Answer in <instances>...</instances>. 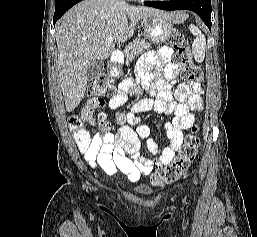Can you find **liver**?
I'll return each instance as SVG.
<instances>
[{
	"label": "liver",
	"mask_w": 257,
	"mask_h": 237,
	"mask_svg": "<svg viewBox=\"0 0 257 237\" xmlns=\"http://www.w3.org/2000/svg\"><path fill=\"white\" fill-rule=\"evenodd\" d=\"M156 15L174 23L184 19L180 13L129 6L118 0H84L63 15L56 24V42L59 80L68 112L84 97L91 65L107 59L114 51L113 42L106 43L105 38L125 43L133 36L140 19Z\"/></svg>",
	"instance_id": "liver-1"
}]
</instances>
